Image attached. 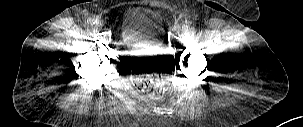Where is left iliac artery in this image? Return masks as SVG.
Segmentation results:
<instances>
[{
	"label": "left iliac artery",
	"instance_id": "obj_1",
	"mask_svg": "<svg viewBox=\"0 0 303 127\" xmlns=\"http://www.w3.org/2000/svg\"><path fill=\"white\" fill-rule=\"evenodd\" d=\"M191 32L194 34V33H196V29H191Z\"/></svg>",
	"mask_w": 303,
	"mask_h": 127
}]
</instances>
